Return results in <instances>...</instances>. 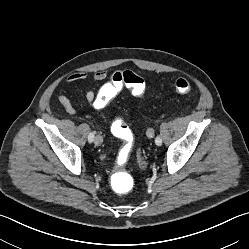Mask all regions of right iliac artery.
<instances>
[{"label": "right iliac artery", "mask_w": 249, "mask_h": 249, "mask_svg": "<svg viewBox=\"0 0 249 249\" xmlns=\"http://www.w3.org/2000/svg\"><path fill=\"white\" fill-rule=\"evenodd\" d=\"M94 132H90L89 133V135H88V141L91 143V142H93V140H94Z\"/></svg>", "instance_id": "obj_1"}]
</instances>
